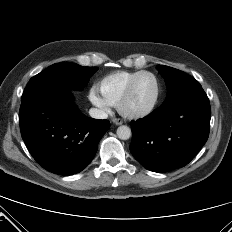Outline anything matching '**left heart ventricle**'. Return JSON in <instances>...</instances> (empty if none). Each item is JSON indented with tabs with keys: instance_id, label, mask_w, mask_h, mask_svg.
<instances>
[{
	"instance_id": "left-heart-ventricle-1",
	"label": "left heart ventricle",
	"mask_w": 232,
	"mask_h": 232,
	"mask_svg": "<svg viewBox=\"0 0 232 232\" xmlns=\"http://www.w3.org/2000/svg\"><path fill=\"white\" fill-rule=\"evenodd\" d=\"M156 94V83L149 75H144L137 81L132 96L126 104V110L139 111L151 104Z\"/></svg>"
}]
</instances>
